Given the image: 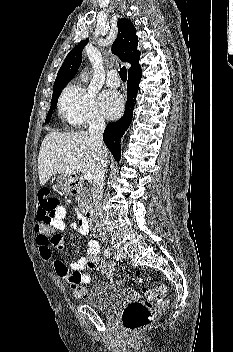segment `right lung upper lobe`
Instances as JSON below:
<instances>
[{
    "label": "right lung upper lobe",
    "instance_id": "obj_1",
    "mask_svg": "<svg viewBox=\"0 0 233 352\" xmlns=\"http://www.w3.org/2000/svg\"><path fill=\"white\" fill-rule=\"evenodd\" d=\"M118 35L112 44V52L123 62L131 64L128 70L129 76L141 72L139 64L140 52L137 50L138 38L136 29L131 21L126 18L119 19L117 22ZM89 39L81 41L66 56L61 68L58 71L54 82V89L65 87L76 75L82 61V51Z\"/></svg>",
    "mask_w": 233,
    "mask_h": 352
}]
</instances>
